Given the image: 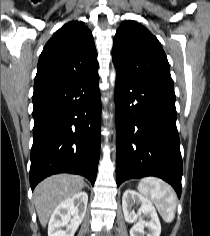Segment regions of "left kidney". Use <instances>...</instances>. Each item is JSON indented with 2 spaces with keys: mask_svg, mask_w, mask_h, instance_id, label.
I'll use <instances>...</instances> for the list:
<instances>
[{
  "mask_svg": "<svg viewBox=\"0 0 210 236\" xmlns=\"http://www.w3.org/2000/svg\"><path fill=\"white\" fill-rule=\"evenodd\" d=\"M140 205L138 212L132 210L133 204ZM122 208L126 222L137 221L130 229V236H144V228H148L146 236H160L161 224L157 212L152 203L142 195L131 189L125 190L122 197ZM148 217V221L143 220V216Z\"/></svg>",
  "mask_w": 210,
  "mask_h": 236,
  "instance_id": "1",
  "label": "left kidney"
}]
</instances>
